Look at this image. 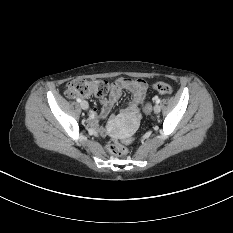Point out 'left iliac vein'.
<instances>
[{
    "label": "left iliac vein",
    "mask_w": 233,
    "mask_h": 233,
    "mask_svg": "<svg viewBox=\"0 0 233 233\" xmlns=\"http://www.w3.org/2000/svg\"><path fill=\"white\" fill-rule=\"evenodd\" d=\"M161 111V106L159 104H156L154 106V113L158 114Z\"/></svg>",
    "instance_id": "4c4485c4"
}]
</instances>
